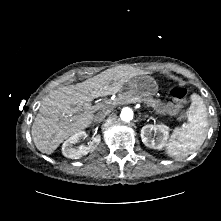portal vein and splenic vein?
I'll use <instances>...</instances> for the list:
<instances>
[{
    "instance_id": "portal-vein-and-splenic-vein-1",
    "label": "portal vein and splenic vein",
    "mask_w": 221,
    "mask_h": 221,
    "mask_svg": "<svg viewBox=\"0 0 221 221\" xmlns=\"http://www.w3.org/2000/svg\"><path fill=\"white\" fill-rule=\"evenodd\" d=\"M131 102L135 103V102H141V101L138 99H132Z\"/></svg>"
}]
</instances>
